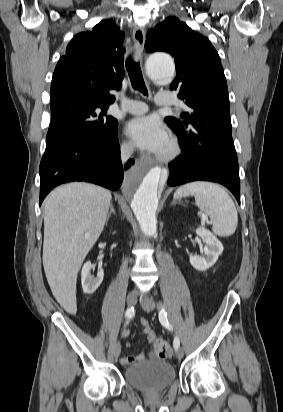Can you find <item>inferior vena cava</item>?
<instances>
[{
	"label": "inferior vena cava",
	"mask_w": 283,
	"mask_h": 412,
	"mask_svg": "<svg viewBox=\"0 0 283 412\" xmlns=\"http://www.w3.org/2000/svg\"><path fill=\"white\" fill-rule=\"evenodd\" d=\"M133 153V147L132 146H124L121 148V159L123 162H126L132 155Z\"/></svg>",
	"instance_id": "obj_1"
}]
</instances>
